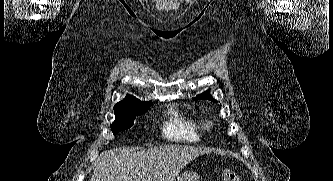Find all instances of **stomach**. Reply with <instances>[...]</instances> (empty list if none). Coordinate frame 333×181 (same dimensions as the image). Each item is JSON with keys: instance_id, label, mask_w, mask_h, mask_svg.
I'll return each instance as SVG.
<instances>
[{"instance_id": "obj_1", "label": "stomach", "mask_w": 333, "mask_h": 181, "mask_svg": "<svg viewBox=\"0 0 333 181\" xmlns=\"http://www.w3.org/2000/svg\"><path fill=\"white\" fill-rule=\"evenodd\" d=\"M177 181H200V176L194 171L186 170L177 177Z\"/></svg>"}]
</instances>
